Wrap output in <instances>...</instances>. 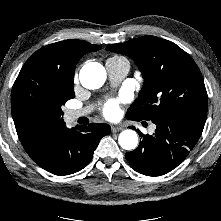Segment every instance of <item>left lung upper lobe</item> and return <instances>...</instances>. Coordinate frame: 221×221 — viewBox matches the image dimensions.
I'll use <instances>...</instances> for the list:
<instances>
[{"mask_svg":"<svg viewBox=\"0 0 221 221\" xmlns=\"http://www.w3.org/2000/svg\"><path fill=\"white\" fill-rule=\"evenodd\" d=\"M106 49L132 58L144 78L126 117L152 122L183 117L206 121L208 97L201 72L175 43L148 35Z\"/></svg>","mask_w":221,"mask_h":221,"instance_id":"1","label":"left lung upper lobe"}]
</instances>
